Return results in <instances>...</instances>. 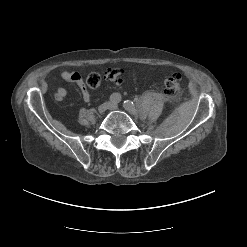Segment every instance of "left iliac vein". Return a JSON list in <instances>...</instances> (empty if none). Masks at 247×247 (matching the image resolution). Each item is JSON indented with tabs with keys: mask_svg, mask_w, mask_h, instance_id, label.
<instances>
[{
	"mask_svg": "<svg viewBox=\"0 0 247 247\" xmlns=\"http://www.w3.org/2000/svg\"><path fill=\"white\" fill-rule=\"evenodd\" d=\"M109 109H110V110H117V109H118V105H117L116 103H110ZM128 112H129V111H128Z\"/></svg>",
	"mask_w": 247,
	"mask_h": 247,
	"instance_id": "obj_1",
	"label": "left iliac vein"
}]
</instances>
